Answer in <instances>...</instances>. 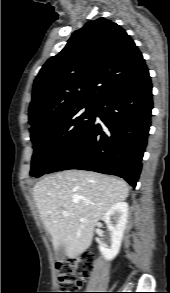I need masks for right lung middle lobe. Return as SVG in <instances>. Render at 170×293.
Wrapping results in <instances>:
<instances>
[{
  "mask_svg": "<svg viewBox=\"0 0 170 293\" xmlns=\"http://www.w3.org/2000/svg\"><path fill=\"white\" fill-rule=\"evenodd\" d=\"M95 106H77L30 129L31 140L34 143L31 176L40 177L47 173L54 162L91 124ZM82 108H86V111L82 112Z\"/></svg>",
  "mask_w": 170,
  "mask_h": 293,
  "instance_id": "1",
  "label": "right lung middle lobe"
}]
</instances>
